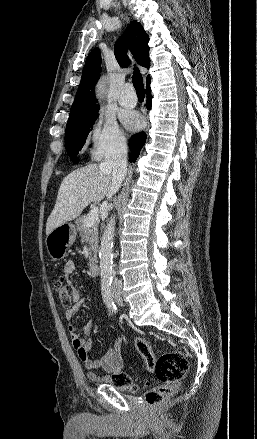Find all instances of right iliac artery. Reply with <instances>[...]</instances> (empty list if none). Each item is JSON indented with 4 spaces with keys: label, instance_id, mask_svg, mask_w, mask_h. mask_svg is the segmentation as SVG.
Returning <instances> with one entry per match:
<instances>
[{
    "label": "right iliac artery",
    "instance_id": "obj_1",
    "mask_svg": "<svg viewBox=\"0 0 257 439\" xmlns=\"http://www.w3.org/2000/svg\"><path fill=\"white\" fill-rule=\"evenodd\" d=\"M102 295H103V299L104 302L106 304V306L108 307L109 310H111L112 312H116L117 307L113 301V296L111 293V286L109 284H104L102 285Z\"/></svg>",
    "mask_w": 257,
    "mask_h": 439
}]
</instances>
